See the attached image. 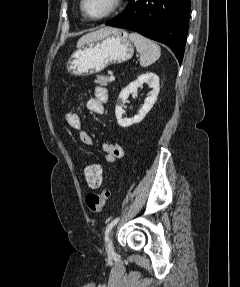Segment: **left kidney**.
I'll return each instance as SVG.
<instances>
[{"label":"left kidney","mask_w":240,"mask_h":287,"mask_svg":"<svg viewBox=\"0 0 240 287\" xmlns=\"http://www.w3.org/2000/svg\"><path fill=\"white\" fill-rule=\"evenodd\" d=\"M143 83H147L153 90L151 91L150 95L145 99L144 105L139 110V113L137 115L132 118H123L122 115L124 113V110L122 107L125 104L126 99L128 98L130 93L135 92L138 87L143 85ZM159 91V77L152 72L140 75L135 81L131 82L127 87L122 89L117 100V105L115 107V115L118 124L121 127L126 128L133 124L141 122L155 104Z\"/></svg>","instance_id":"1"}]
</instances>
